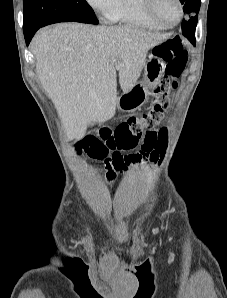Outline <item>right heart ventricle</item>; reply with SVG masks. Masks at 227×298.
I'll list each match as a JSON object with an SVG mask.
<instances>
[{"label": "right heart ventricle", "instance_id": "e07e8e85", "mask_svg": "<svg viewBox=\"0 0 227 298\" xmlns=\"http://www.w3.org/2000/svg\"><path fill=\"white\" fill-rule=\"evenodd\" d=\"M103 13L108 20L124 26L150 30L164 28L148 16L144 0H111Z\"/></svg>", "mask_w": 227, "mask_h": 298}]
</instances>
